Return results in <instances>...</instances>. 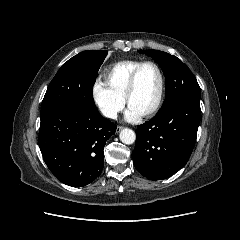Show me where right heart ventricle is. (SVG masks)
<instances>
[{
  "label": "right heart ventricle",
  "mask_w": 240,
  "mask_h": 240,
  "mask_svg": "<svg viewBox=\"0 0 240 240\" xmlns=\"http://www.w3.org/2000/svg\"><path fill=\"white\" fill-rule=\"evenodd\" d=\"M141 62L139 60H123L114 63L105 73L106 83L117 94L125 98L129 77Z\"/></svg>",
  "instance_id": "obj_1"
}]
</instances>
